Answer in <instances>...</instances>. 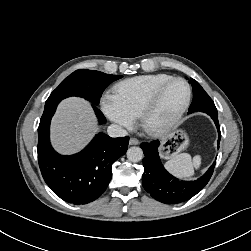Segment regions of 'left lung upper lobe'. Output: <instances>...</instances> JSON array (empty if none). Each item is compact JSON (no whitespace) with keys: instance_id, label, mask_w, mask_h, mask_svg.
I'll return each mask as SVG.
<instances>
[{"instance_id":"1","label":"left lung upper lobe","mask_w":251,"mask_h":251,"mask_svg":"<svg viewBox=\"0 0 251 251\" xmlns=\"http://www.w3.org/2000/svg\"><path fill=\"white\" fill-rule=\"evenodd\" d=\"M190 83L192 85V90H193V101L189 108L188 113L199 111L198 109L200 107L204 109L203 112L217 113V109L215 107L214 102L209 97V95L204 91L201 85L194 79H190ZM195 99H197V101H195Z\"/></svg>"}]
</instances>
